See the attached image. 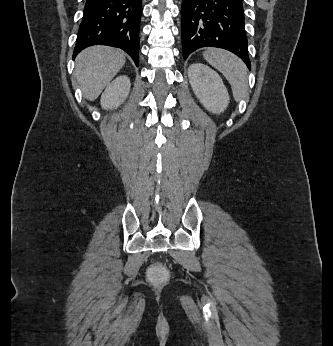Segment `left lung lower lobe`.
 Returning <instances> with one entry per match:
<instances>
[{
	"instance_id": "obj_1",
	"label": "left lung lower lobe",
	"mask_w": 333,
	"mask_h": 346,
	"mask_svg": "<svg viewBox=\"0 0 333 346\" xmlns=\"http://www.w3.org/2000/svg\"><path fill=\"white\" fill-rule=\"evenodd\" d=\"M242 0H182L183 57L196 49L218 47L239 56L251 69Z\"/></svg>"
}]
</instances>
